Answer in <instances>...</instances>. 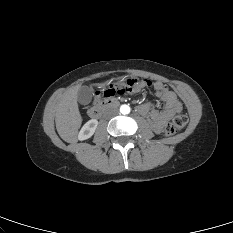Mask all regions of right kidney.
<instances>
[{"label":"right kidney","mask_w":233,"mask_h":233,"mask_svg":"<svg viewBox=\"0 0 233 233\" xmlns=\"http://www.w3.org/2000/svg\"><path fill=\"white\" fill-rule=\"evenodd\" d=\"M98 125V121L96 119H91L84 126L81 128L78 139L79 140H86L89 139L95 132Z\"/></svg>","instance_id":"ca27d5eb"}]
</instances>
